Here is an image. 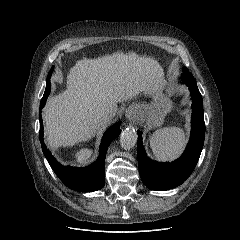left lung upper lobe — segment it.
I'll list each match as a JSON object with an SVG mask.
<instances>
[{"mask_svg":"<svg viewBox=\"0 0 240 240\" xmlns=\"http://www.w3.org/2000/svg\"><path fill=\"white\" fill-rule=\"evenodd\" d=\"M183 71L189 73V70L187 68H183Z\"/></svg>","mask_w":240,"mask_h":240,"instance_id":"obj_1","label":"left lung upper lobe"}]
</instances>
